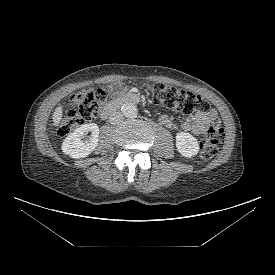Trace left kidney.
Returning a JSON list of instances; mask_svg holds the SVG:
<instances>
[{
	"mask_svg": "<svg viewBox=\"0 0 275 275\" xmlns=\"http://www.w3.org/2000/svg\"><path fill=\"white\" fill-rule=\"evenodd\" d=\"M176 147L184 157L195 156L199 151V144L195 137L189 133L181 132L176 135Z\"/></svg>",
	"mask_w": 275,
	"mask_h": 275,
	"instance_id": "1",
	"label": "left kidney"
}]
</instances>
